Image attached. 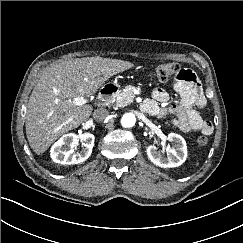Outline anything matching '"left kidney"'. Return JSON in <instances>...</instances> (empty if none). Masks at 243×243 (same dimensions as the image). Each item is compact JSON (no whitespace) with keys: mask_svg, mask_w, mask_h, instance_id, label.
I'll use <instances>...</instances> for the list:
<instances>
[{"mask_svg":"<svg viewBox=\"0 0 243 243\" xmlns=\"http://www.w3.org/2000/svg\"><path fill=\"white\" fill-rule=\"evenodd\" d=\"M167 139L174 143L166 148L167 157L161 154L156 146L150 145L146 152L150 161L161 168L180 166L187 158V146L184 138L176 133H169Z\"/></svg>","mask_w":243,"mask_h":243,"instance_id":"left-kidney-1","label":"left kidney"}]
</instances>
